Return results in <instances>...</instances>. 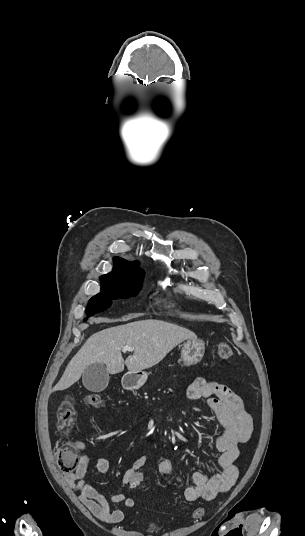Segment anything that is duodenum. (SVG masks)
<instances>
[{
  "label": "duodenum",
  "instance_id": "1",
  "mask_svg": "<svg viewBox=\"0 0 305 536\" xmlns=\"http://www.w3.org/2000/svg\"><path fill=\"white\" fill-rule=\"evenodd\" d=\"M139 384V380L137 377H126L124 381V385L127 389H134Z\"/></svg>",
  "mask_w": 305,
  "mask_h": 536
}]
</instances>
